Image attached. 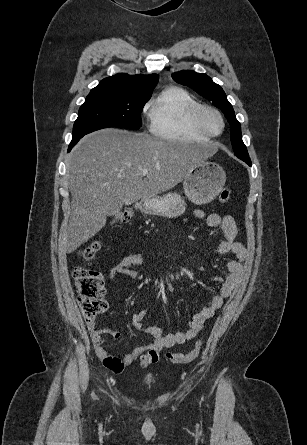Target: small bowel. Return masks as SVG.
I'll return each instance as SVG.
<instances>
[{"instance_id":"c3829d8e","label":"small bowel","mask_w":307,"mask_h":445,"mask_svg":"<svg viewBox=\"0 0 307 445\" xmlns=\"http://www.w3.org/2000/svg\"><path fill=\"white\" fill-rule=\"evenodd\" d=\"M194 215L197 218L205 219L206 224L210 228L221 232L223 239L214 247V253L217 255L234 254L236 257L226 262V275L214 277V280L220 283L219 291L210 299L205 307L193 314L189 321L188 329L185 331L163 335L159 327L145 326L143 324V319L147 314L146 309L133 313L131 322L134 328L149 334L152 337V341L146 346L135 347L122 357L112 356L104 348V334H110L116 338L119 334L98 329L95 320L88 321L87 327L95 353L102 364L112 372L120 373L126 366L131 365L137 359L140 360L142 367H147L158 361L161 350L194 339L202 330L205 321L211 318L217 309L221 308L225 299L231 295L236 287L242 273L243 259L246 250L240 242L236 241L238 230L234 218L231 215L221 216L218 213L205 214L200 210H195ZM146 263L147 258L145 255L129 254L109 270L107 279H115L118 276L134 279L137 277V271L133 267Z\"/></svg>"}]
</instances>
